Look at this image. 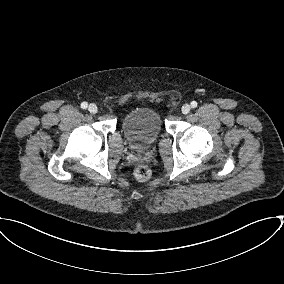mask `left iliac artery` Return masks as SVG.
<instances>
[{"mask_svg": "<svg viewBox=\"0 0 284 284\" xmlns=\"http://www.w3.org/2000/svg\"><path fill=\"white\" fill-rule=\"evenodd\" d=\"M191 107H192V108L197 107V102H196V101H192V102H191Z\"/></svg>", "mask_w": 284, "mask_h": 284, "instance_id": "left-iliac-artery-1", "label": "left iliac artery"}]
</instances>
